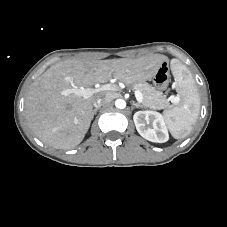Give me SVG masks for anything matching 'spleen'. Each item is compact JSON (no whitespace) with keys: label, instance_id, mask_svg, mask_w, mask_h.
Returning <instances> with one entry per match:
<instances>
[{"label":"spleen","instance_id":"3e777b00","mask_svg":"<svg viewBox=\"0 0 227 227\" xmlns=\"http://www.w3.org/2000/svg\"><path fill=\"white\" fill-rule=\"evenodd\" d=\"M177 90L181 101L164 111L166 124L175 139L189 135L200 111V98L194 79L186 66L175 61L172 64Z\"/></svg>","mask_w":227,"mask_h":227}]
</instances>
